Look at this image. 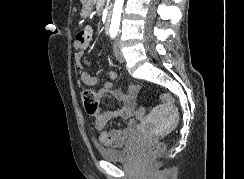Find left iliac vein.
Listing matches in <instances>:
<instances>
[{"mask_svg": "<svg viewBox=\"0 0 244 179\" xmlns=\"http://www.w3.org/2000/svg\"><path fill=\"white\" fill-rule=\"evenodd\" d=\"M113 50H114V54H115V57L117 58V60H118L119 62L123 63V62H124V56H123V54H122V52H121V48H120V39H119V38H117V39L115 40Z\"/></svg>", "mask_w": 244, "mask_h": 179, "instance_id": "4c4485c4", "label": "left iliac vein"}]
</instances>
